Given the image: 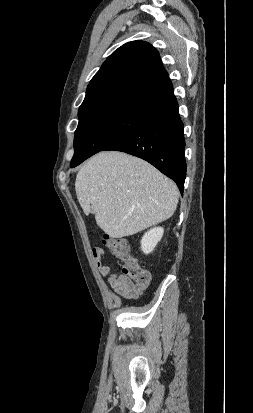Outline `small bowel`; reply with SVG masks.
<instances>
[{
  "label": "small bowel",
  "mask_w": 253,
  "mask_h": 413,
  "mask_svg": "<svg viewBox=\"0 0 253 413\" xmlns=\"http://www.w3.org/2000/svg\"><path fill=\"white\" fill-rule=\"evenodd\" d=\"M92 256L99 274L106 277L107 284L114 289L118 296L127 300L136 299L146 289V286L136 285L122 273H116L112 271L109 265L103 264L104 250L101 247H94L92 249Z\"/></svg>",
  "instance_id": "obj_1"
}]
</instances>
